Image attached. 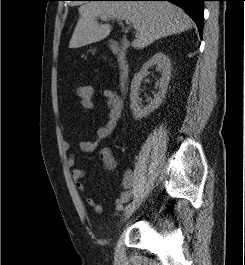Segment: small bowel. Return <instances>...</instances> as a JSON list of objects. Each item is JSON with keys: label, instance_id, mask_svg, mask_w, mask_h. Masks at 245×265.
I'll use <instances>...</instances> for the list:
<instances>
[{"label": "small bowel", "instance_id": "obj_1", "mask_svg": "<svg viewBox=\"0 0 245 265\" xmlns=\"http://www.w3.org/2000/svg\"><path fill=\"white\" fill-rule=\"evenodd\" d=\"M103 96L105 98L106 106L108 109V117L104 125H102L100 128H98L95 138L93 140H82L79 143V149L82 152H93L97 145L104 142L106 139L110 137V135L113 133L115 128L117 127L118 123L120 122L123 114V108L124 103L121 98V96L114 90L106 89L103 92ZM82 106L86 110H94L95 104L94 101H91L89 103H83ZM63 149L68 152L67 157V165L72 169L71 176L72 179L75 182V186L77 190L80 192L85 191V186L82 182V179L86 175V171L83 168L75 167V155L73 152V145L65 141L63 143ZM101 159L105 165V167L108 170H113L116 167V160L112 154V151L110 148H103L101 150ZM133 184H134V174L131 170H126L123 174L122 179V192L118 196V198L115 200L116 206L118 204H125L127 203L131 197H132V191H133ZM86 203L93 208V210L96 213H102L103 207L98 204L93 198L87 197Z\"/></svg>", "mask_w": 245, "mask_h": 265}]
</instances>
